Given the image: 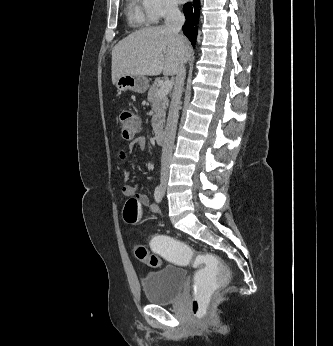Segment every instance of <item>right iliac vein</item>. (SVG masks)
I'll return each mask as SVG.
<instances>
[{
  "label": "right iliac vein",
  "mask_w": 333,
  "mask_h": 346,
  "mask_svg": "<svg viewBox=\"0 0 333 346\" xmlns=\"http://www.w3.org/2000/svg\"><path fill=\"white\" fill-rule=\"evenodd\" d=\"M167 179H168L167 176L162 177L161 185H162V189H163V190L166 189V182H167Z\"/></svg>",
  "instance_id": "obj_1"
}]
</instances>
